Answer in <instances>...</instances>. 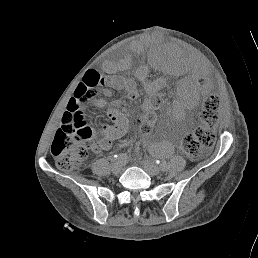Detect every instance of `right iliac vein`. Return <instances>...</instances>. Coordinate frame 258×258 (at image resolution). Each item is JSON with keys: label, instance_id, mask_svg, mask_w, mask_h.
Returning <instances> with one entry per match:
<instances>
[{"label": "right iliac vein", "instance_id": "1", "mask_svg": "<svg viewBox=\"0 0 258 258\" xmlns=\"http://www.w3.org/2000/svg\"><path fill=\"white\" fill-rule=\"evenodd\" d=\"M122 168L123 162L121 160H118L112 165V172L118 174L122 171Z\"/></svg>", "mask_w": 258, "mask_h": 258}]
</instances>
